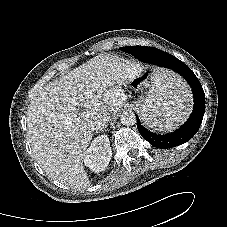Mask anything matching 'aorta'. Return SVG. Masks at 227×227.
I'll return each instance as SVG.
<instances>
[{
    "mask_svg": "<svg viewBox=\"0 0 227 227\" xmlns=\"http://www.w3.org/2000/svg\"><path fill=\"white\" fill-rule=\"evenodd\" d=\"M120 121L125 126H131L136 123V116L132 111H124L120 115Z\"/></svg>",
    "mask_w": 227,
    "mask_h": 227,
    "instance_id": "aorta-1",
    "label": "aorta"
}]
</instances>
